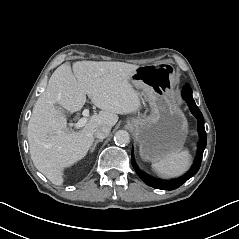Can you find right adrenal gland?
Returning a JSON list of instances; mask_svg holds the SVG:
<instances>
[{
	"label": "right adrenal gland",
	"instance_id": "right-adrenal-gland-1",
	"mask_svg": "<svg viewBox=\"0 0 239 239\" xmlns=\"http://www.w3.org/2000/svg\"><path fill=\"white\" fill-rule=\"evenodd\" d=\"M99 142H103V139H99V140L95 141L94 146L90 149V153L94 152V150Z\"/></svg>",
	"mask_w": 239,
	"mask_h": 239
}]
</instances>
